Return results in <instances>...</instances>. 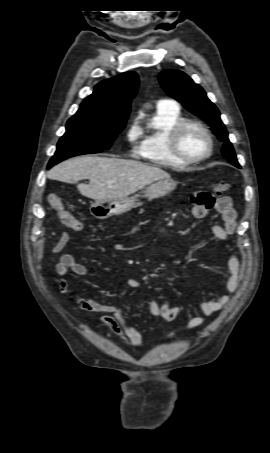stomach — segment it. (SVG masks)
Listing matches in <instances>:
<instances>
[{"mask_svg":"<svg viewBox=\"0 0 270 453\" xmlns=\"http://www.w3.org/2000/svg\"><path fill=\"white\" fill-rule=\"evenodd\" d=\"M177 182L171 178H165L151 184L145 191L149 198H158L170 193L175 189ZM137 195L120 199H98L90 206V213L97 219H107L114 215H120L130 211L137 201Z\"/></svg>","mask_w":270,"mask_h":453,"instance_id":"0dacf381","label":"stomach"}]
</instances>
